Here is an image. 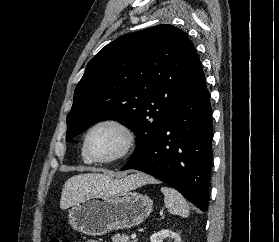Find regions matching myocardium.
Listing matches in <instances>:
<instances>
[{
	"label": "myocardium",
	"instance_id": "myocardium-1",
	"mask_svg": "<svg viewBox=\"0 0 279 242\" xmlns=\"http://www.w3.org/2000/svg\"><path fill=\"white\" fill-rule=\"evenodd\" d=\"M103 126H112L117 128L123 134L124 143L122 148L116 154L107 158H95L89 152L88 143L92 133L98 128ZM135 145H136V133L129 124H127L126 122L120 119L105 118L95 122L87 130L83 141V152L92 163L109 164L126 158L128 155L132 153V151L135 148Z\"/></svg>",
	"mask_w": 279,
	"mask_h": 242
}]
</instances>
